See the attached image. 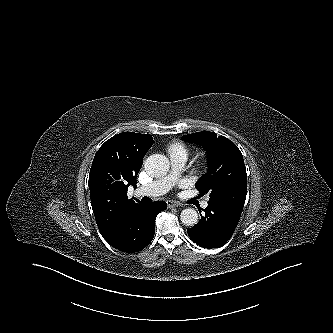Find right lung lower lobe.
<instances>
[{"label": "right lung lower lobe", "mask_w": 333, "mask_h": 333, "mask_svg": "<svg viewBox=\"0 0 333 333\" xmlns=\"http://www.w3.org/2000/svg\"><path fill=\"white\" fill-rule=\"evenodd\" d=\"M166 208L164 201L133 205L125 212L116 230L106 241L122 252L134 253L142 250L153 239L157 214Z\"/></svg>", "instance_id": "1"}]
</instances>
